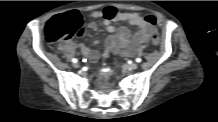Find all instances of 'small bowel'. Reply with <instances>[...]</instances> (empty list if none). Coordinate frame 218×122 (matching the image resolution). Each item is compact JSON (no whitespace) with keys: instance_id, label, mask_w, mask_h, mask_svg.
Wrapping results in <instances>:
<instances>
[{"instance_id":"obj_1","label":"small bowel","mask_w":218,"mask_h":122,"mask_svg":"<svg viewBox=\"0 0 218 122\" xmlns=\"http://www.w3.org/2000/svg\"><path fill=\"white\" fill-rule=\"evenodd\" d=\"M112 8V9H109ZM114 7H105L102 10L91 13L93 19L103 18L106 30L111 35L106 40L105 55L109 52L120 53L125 56L132 55L140 46L147 43L155 31L153 25H150L143 16L136 12H119ZM126 22L130 26L136 28V33L131 36L130 31L126 27H120L116 30L114 23ZM89 28L96 30L97 23L92 21ZM77 47L81 53L90 62L94 63L99 58V51L95 48L88 47L85 44H74L65 42L60 44L59 48Z\"/></svg>"}]
</instances>
